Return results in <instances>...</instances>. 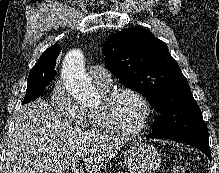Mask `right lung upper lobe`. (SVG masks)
I'll list each match as a JSON object with an SVG mask.
<instances>
[{"label": "right lung upper lobe", "instance_id": "cb5924a9", "mask_svg": "<svg viewBox=\"0 0 219 173\" xmlns=\"http://www.w3.org/2000/svg\"><path fill=\"white\" fill-rule=\"evenodd\" d=\"M61 52V47L55 44L48 48L39 58L38 62L32 68V70H42L44 74L55 75V60L57 59L59 53Z\"/></svg>", "mask_w": 219, "mask_h": 173}]
</instances>
